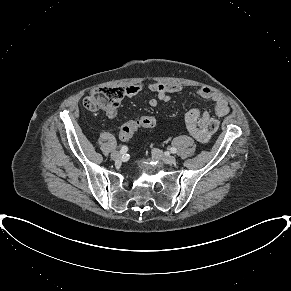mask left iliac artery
Instances as JSON below:
<instances>
[{"label":"left iliac artery","instance_id":"44dca946","mask_svg":"<svg viewBox=\"0 0 291 291\" xmlns=\"http://www.w3.org/2000/svg\"><path fill=\"white\" fill-rule=\"evenodd\" d=\"M170 152H171V153H176V152H177V149L174 148V147H171V148H170Z\"/></svg>","mask_w":291,"mask_h":291}]
</instances>
